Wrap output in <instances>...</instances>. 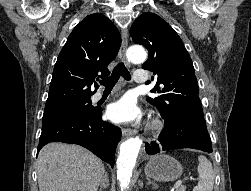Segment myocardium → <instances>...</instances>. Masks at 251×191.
Masks as SVG:
<instances>
[{"label": "myocardium", "instance_id": "myocardium-1", "mask_svg": "<svg viewBox=\"0 0 251 191\" xmlns=\"http://www.w3.org/2000/svg\"><path fill=\"white\" fill-rule=\"evenodd\" d=\"M157 127H159V124L158 123H154V124H152V128H157Z\"/></svg>", "mask_w": 251, "mask_h": 191}]
</instances>
